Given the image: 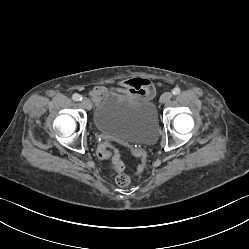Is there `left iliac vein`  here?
Wrapping results in <instances>:
<instances>
[{"mask_svg":"<svg viewBox=\"0 0 249 249\" xmlns=\"http://www.w3.org/2000/svg\"><path fill=\"white\" fill-rule=\"evenodd\" d=\"M172 98V93L171 92H165L161 98H160V102L161 103H167L168 101H170V99Z\"/></svg>","mask_w":249,"mask_h":249,"instance_id":"obj_1","label":"left iliac vein"}]
</instances>
